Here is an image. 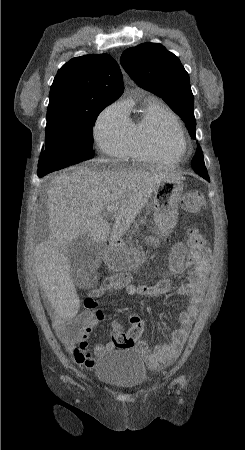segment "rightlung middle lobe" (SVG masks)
I'll use <instances>...</instances> for the list:
<instances>
[{
  "instance_id": "obj_1",
  "label": "right lung middle lobe",
  "mask_w": 245,
  "mask_h": 450,
  "mask_svg": "<svg viewBox=\"0 0 245 450\" xmlns=\"http://www.w3.org/2000/svg\"><path fill=\"white\" fill-rule=\"evenodd\" d=\"M108 104H96L89 111L47 113L45 150L38 173H50L94 157L93 123Z\"/></svg>"
}]
</instances>
